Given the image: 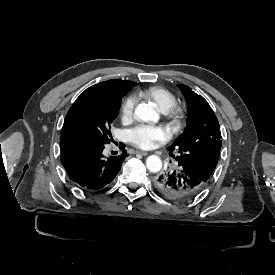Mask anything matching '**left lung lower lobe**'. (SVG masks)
<instances>
[{
  "mask_svg": "<svg viewBox=\"0 0 275 275\" xmlns=\"http://www.w3.org/2000/svg\"><path fill=\"white\" fill-rule=\"evenodd\" d=\"M154 185L167 199L188 200L204 188L205 182L180 166L173 172L158 176L154 181Z\"/></svg>",
  "mask_w": 275,
  "mask_h": 275,
  "instance_id": "obj_1",
  "label": "left lung lower lobe"
}]
</instances>
